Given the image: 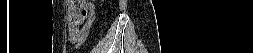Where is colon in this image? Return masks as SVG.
I'll use <instances>...</instances> for the list:
<instances>
[{
  "label": "colon",
  "mask_w": 253,
  "mask_h": 53,
  "mask_svg": "<svg viewBox=\"0 0 253 53\" xmlns=\"http://www.w3.org/2000/svg\"><path fill=\"white\" fill-rule=\"evenodd\" d=\"M68 25L75 28L83 27L91 14V9L87 5L88 1H68Z\"/></svg>",
  "instance_id": "colon-1"
}]
</instances>
